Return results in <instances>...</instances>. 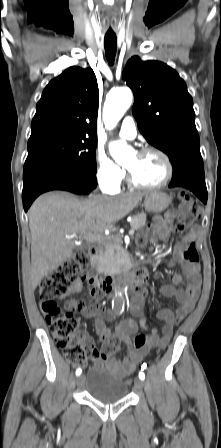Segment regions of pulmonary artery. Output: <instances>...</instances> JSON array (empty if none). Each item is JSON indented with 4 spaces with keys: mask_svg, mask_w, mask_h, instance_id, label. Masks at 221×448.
<instances>
[{
    "mask_svg": "<svg viewBox=\"0 0 221 448\" xmlns=\"http://www.w3.org/2000/svg\"><path fill=\"white\" fill-rule=\"evenodd\" d=\"M118 134L120 137L125 139H134L137 136V127L135 120L132 116H126L123 119Z\"/></svg>",
    "mask_w": 221,
    "mask_h": 448,
    "instance_id": "pulmonary-artery-1",
    "label": "pulmonary artery"
}]
</instances>
